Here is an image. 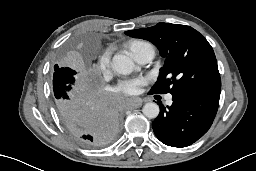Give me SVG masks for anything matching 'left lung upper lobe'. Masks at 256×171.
Masks as SVG:
<instances>
[{"label": "left lung upper lobe", "instance_id": "obj_1", "mask_svg": "<svg viewBox=\"0 0 256 171\" xmlns=\"http://www.w3.org/2000/svg\"><path fill=\"white\" fill-rule=\"evenodd\" d=\"M125 34L152 42L165 58L151 94L193 90L220 95L221 80L211 45L190 26L158 23Z\"/></svg>", "mask_w": 256, "mask_h": 171}]
</instances>
